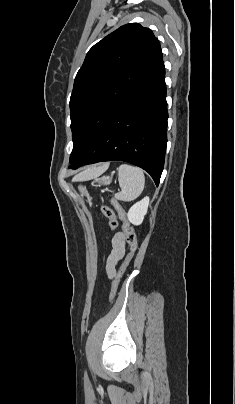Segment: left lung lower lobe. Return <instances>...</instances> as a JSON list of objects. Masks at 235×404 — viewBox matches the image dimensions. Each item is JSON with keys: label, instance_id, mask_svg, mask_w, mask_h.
I'll return each mask as SVG.
<instances>
[{"label": "left lung lower lobe", "instance_id": "left-lung-lower-lobe-1", "mask_svg": "<svg viewBox=\"0 0 235 404\" xmlns=\"http://www.w3.org/2000/svg\"><path fill=\"white\" fill-rule=\"evenodd\" d=\"M163 60L111 114L90 146L69 168L120 160L146 170L158 186L167 144Z\"/></svg>", "mask_w": 235, "mask_h": 404}]
</instances>
